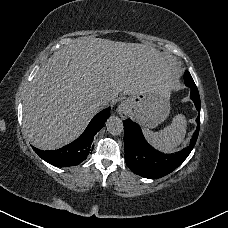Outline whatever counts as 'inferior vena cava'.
Listing matches in <instances>:
<instances>
[{
  "mask_svg": "<svg viewBox=\"0 0 228 228\" xmlns=\"http://www.w3.org/2000/svg\"><path fill=\"white\" fill-rule=\"evenodd\" d=\"M108 105H109V100L104 97H101L98 100L94 101V106H96L99 109H102Z\"/></svg>",
  "mask_w": 228,
  "mask_h": 228,
  "instance_id": "obj_1",
  "label": "inferior vena cava"
}]
</instances>
